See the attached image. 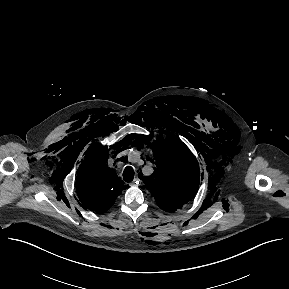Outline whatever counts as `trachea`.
<instances>
[{
    "label": "trachea",
    "instance_id": "trachea-1",
    "mask_svg": "<svg viewBox=\"0 0 289 289\" xmlns=\"http://www.w3.org/2000/svg\"><path fill=\"white\" fill-rule=\"evenodd\" d=\"M134 178V170L132 167L127 166L123 171V179L125 182H131Z\"/></svg>",
    "mask_w": 289,
    "mask_h": 289
}]
</instances>
